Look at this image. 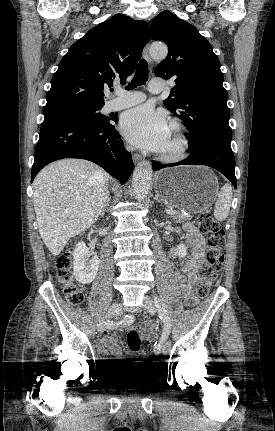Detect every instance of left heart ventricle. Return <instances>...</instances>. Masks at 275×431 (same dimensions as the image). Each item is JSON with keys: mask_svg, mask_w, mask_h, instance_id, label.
I'll return each mask as SVG.
<instances>
[{"mask_svg": "<svg viewBox=\"0 0 275 431\" xmlns=\"http://www.w3.org/2000/svg\"><path fill=\"white\" fill-rule=\"evenodd\" d=\"M177 144V139H176V133L175 131L169 126V132H168V137L166 140V143L162 149V152H171L175 149Z\"/></svg>", "mask_w": 275, "mask_h": 431, "instance_id": "left-heart-ventricle-1", "label": "left heart ventricle"}]
</instances>
